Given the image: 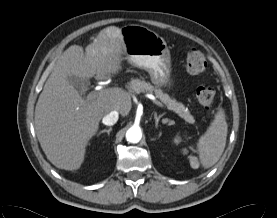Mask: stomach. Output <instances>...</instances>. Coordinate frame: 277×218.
<instances>
[{"label":"stomach","instance_id":"1","mask_svg":"<svg viewBox=\"0 0 277 218\" xmlns=\"http://www.w3.org/2000/svg\"><path fill=\"white\" fill-rule=\"evenodd\" d=\"M121 34L128 62L145 69L157 87H171V56L163 37L137 24L124 26Z\"/></svg>","mask_w":277,"mask_h":218}]
</instances>
